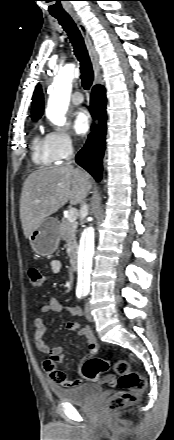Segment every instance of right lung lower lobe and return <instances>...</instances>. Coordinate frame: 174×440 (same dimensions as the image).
Returning a JSON list of instances; mask_svg holds the SVG:
<instances>
[{
    "instance_id": "right-lung-lower-lobe-1",
    "label": "right lung lower lobe",
    "mask_w": 174,
    "mask_h": 440,
    "mask_svg": "<svg viewBox=\"0 0 174 440\" xmlns=\"http://www.w3.org/2000/svg\"><path fill=\"white\" fill-rule=\"evenodd\" d=\"M106 96L101 85L93 87L90 111L94 118L99 119V125L92 127V132L84 147L76 155V162L87 170L96 181L101 180L102 158L105 150L106 135Z\"/></svg>"
}]
</instances>
